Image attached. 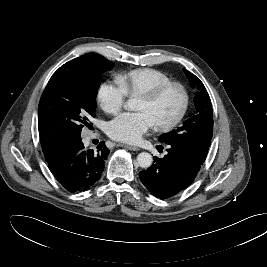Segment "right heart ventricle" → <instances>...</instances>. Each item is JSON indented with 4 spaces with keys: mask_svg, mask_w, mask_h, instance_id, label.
<instances>
[{
    "mask_svg": "<svg viewBox=\"0 0 267 267\" xmlns=\"http://www.w3.org/2000/svg\"><path fill=\"white\" fill-rule=\"evenodd\" d=\"M116 81L122 85L129 97L137 98L159 85L170 82L171 78L156 69L139 68L118 74Z\"/></svg>",
    "mask_w": 267,
    "mask_h": 267,
    "instance_id": "obj_1",
    "label": "right heart ventricle"
}]
</instances>
